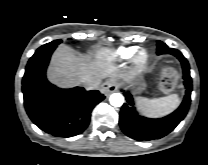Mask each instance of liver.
I'll return each mask as SVG.
<instances>
[{"label": "liver", "instance_id": "6515ba94", "mask_svg": "<svg viewBox=\"0 0 208 165\" xmlns=\"http://www.w3.org/2000/svg\"><path fill=\"white\" fill-rule=\"evenodd\" d=\"M110 74L111 71L100 60L89 61L77 55L70 47L61 45L52 57L48 78L59 86L69 87L93 78H105Z\"/></svg>", "mask_w": 208, "mask_h": 165}]
</instances>
